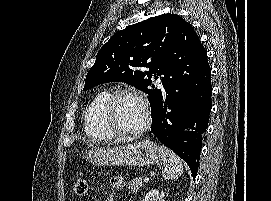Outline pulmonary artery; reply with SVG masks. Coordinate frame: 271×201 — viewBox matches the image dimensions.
Wrapping results in <instances>:
<instances>
[{
    "mask_svg": "<svg viewBox=\"0 0 271 201\" xmlns=\"http://www.w3.org/2000/svg\"><path fill=\"white\" fill-rule=\"evenodd\" d=\"M159 83H160L161 88L163 89V88H164V86H163V84H162L161 80H159Z\"/></svg>",
    "mask_w": 271,
    "mask_h": 201,
    "instance_id": "obj_1",
    "label": "pulmonary artery"
}]
</instances>
